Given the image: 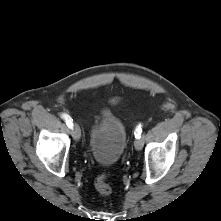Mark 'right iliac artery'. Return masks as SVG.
I'll use <instances>...</instances> for the list:
<instances>
[{
	"label": "right iliac artery",
	"instance_id": "right-iliac-artery-1",
	"mask_svg": "<svg viewBox=\"0 0 221 221\" xmlns=\"http://www.w3.org/2000/svg\"><path fill=\"white\" fill-rule=\"evenodd\" d=\"M61 118L66 122V125L68 127H71L73 125L72 119L68 114H65V113L61 114Z\"/></svg>",
	"mask_w": 221,
	"mask_h": 221
}]
</instances>
